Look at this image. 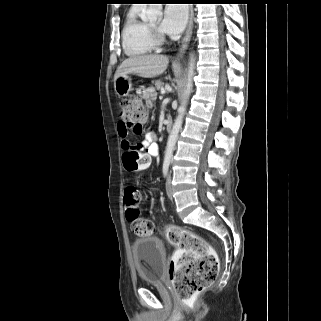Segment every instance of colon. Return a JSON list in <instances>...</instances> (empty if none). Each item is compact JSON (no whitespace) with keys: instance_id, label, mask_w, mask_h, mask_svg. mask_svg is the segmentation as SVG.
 Listing matches in <instances>:
<instances>
[{"instance_id":"obj_1","label":"colon","mask_w":321,"mask_h":321,"mask_svg":"<svg viewBox=\"0 0 321 321\" xmlns=\"http://www.w3.org/2000/svg\"><path fill=\"white\" fill-rule=\"evenodd\" d=\"M120 117L133 133L139 135L148 119V111L138 97H126L121 101ZM149 158L133 150L124 157L128 171H139L148 167ZM125 214L132 231L138 236H149L154 231L153 223L139 218L140 192L134 186L124 191ZM167 240L178 248L170 263L169 276L177 297L182 301L191 300L207 288L217 277L218 257L214 249L197 234L175 225L165 229Z\"/></svg>"}]
</instances>
